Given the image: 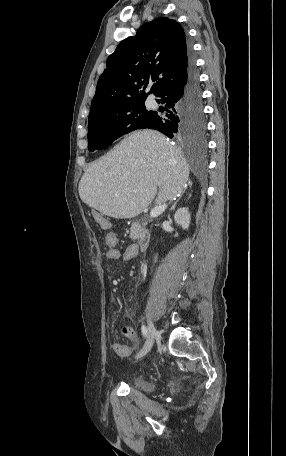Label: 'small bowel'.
<instances>
[{"instance_id":"small-bowel-1","label":"small bowel","mask_w":286,"mask_h":456,"mask_svg":"<svg viewBox=\"0 0 286 456\" xmlns=\"http://www.w3.org/2000/svg\"><path fill=\"white\" fill-rule=\"evenodd\" d=\"M106 245L109 247L108 251L106 252V258L108 260L113 261H128L138 256L139 250L136 245H129L124 250H120L118 245V238L117 235L113 232H110L106 235L105 238ZM122 334L130 341H134L136 338V332L132 327H124L122 328ZM114 351L118 356L126 357L130 355L132 352L133 347L115 343L113 345Z\"/></svg>"}]
</instances>
